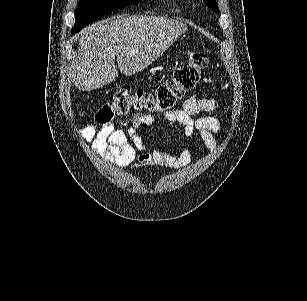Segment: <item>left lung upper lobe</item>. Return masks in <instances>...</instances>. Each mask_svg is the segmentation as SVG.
Segmentation results:
<instances>
[{"mask_svg": "<svg viewBox=\"0 0 307 301\" xmlns=\"http://www.w3.org/2000/svg\"><path fill=\"white\" fill-rule=\"evenodd\" d=\"M206 5H208L215 13L219 14V8L216 0H203Z\"/></svg>", "mask_w": 307, "mask_h": 301, "instance_id": "left-lung-upper-lobe-1", "label": "left lung upper lobe"}]
</instances>
